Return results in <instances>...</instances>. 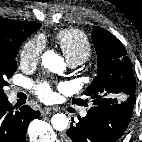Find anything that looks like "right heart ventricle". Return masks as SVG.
<instances>
[{
	"mask_svg": "<svg viewBox=\"0 0 142 142\" xmlns=\"http://www.w3.org/2000/svg\"><path fill=\"white\" fill-rule=\"evenodd\" d=\"M56 41L68 62H85L92 53L87 35L79 29H66L57 33Z\"/></svg>",
	"mask_w": 142,
	"mask_h": 142,
	"instance_id": "e07e8e85",
	"label": "right heart ventricle"
}]
</instances>
